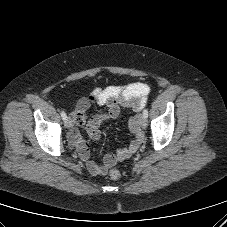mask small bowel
<instances>
[{"label":"small bowel","instance_id":"1","mask_svg":"<svg viewBox=\"0 0 227 227\" xmlns=\"http://www.w3.org/2000/svg\"><path fill=\"white\" fill-rule=\"evenodd\" d=\"M149 88L146 84L138 82L125 87L110 86L106 88H96L89 97L81 98L76 104L73 119L78 126L84 127L88 136L95 142L100 139V125L109 119H115L120 113V107H130L139 112L146 104ZM91 105L106 106L104 114L87 117V111ZM129 130L133 139L127 147L119 148L114 153L105 156L102 164L90 160V150L78 129H73L69 133V140L74 145L86 163L88 171L92 175H104L108 169L117 162L122 161L137 151L143 141L136 118L129 120Z\"/></svg>","mask_w":227,"mask_h":227}]
</instances>
